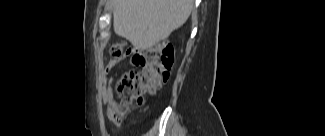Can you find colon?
<instances>
[{
	"label": "colon",
	"mask_w": 325,
	"mask_h": 136,
	"mask_svg": "<svg viewBox=\"0 0 325 136\" xmlns=\"http://www.w3.org/2000/svg\"><path fill=\"white\" fill-rule=\"evenodd\" d=\"M123 43H116L110 49L112 59H122L125 55ZM173 64V48L162 41L151 46L146 53L144 68L127 85L124 107H131L133 101L138 105L146 102L147 97L155 93L169 78Z\"/></svg>",
	"instance_id": "5ec220e1"
}]
</instances>
